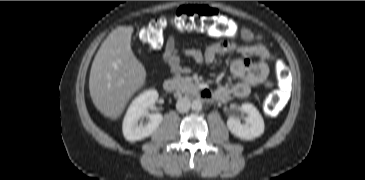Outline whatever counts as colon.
Listing matches in <instances>:
<instances>
[{"mask_svg":"<svg viewBox=\"0 0 365 180\" xmlns=\"http://www.w3.org/2000/svg\"><path fill=\"white\" fill-rule=\"evenodd\" d=\"M170 28L177 32L201 29L220 40H229L234 35L230 20L224 19L216 9L204 5H186L172 15H160L149 20L139 33L140 40L151 48H159L164 43L165 32ZM275 73L276 84L271 86L267 99L271 115L280 113L284 107L281 85L287 77V70L281 61L276 63Z\"/></svg>","mask_w":365,"mask_h":180,"instance_id":"colon-1","label":"colon"}]
</instances>
